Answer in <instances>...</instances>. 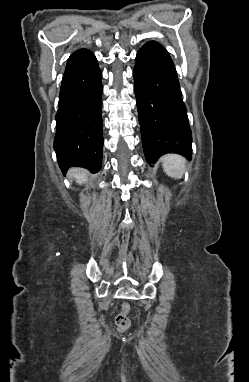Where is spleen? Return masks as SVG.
<instances>
[{
  "mask_svg": "<svg viewBox=\"0 0 249 382\" xmlns=\"http://www.w3.org/2000/svg\"><path fill=\"white\" fill-rule=\"evenodd\" d=\"M164 172L174 179H181L186 169V160L177 154H167L162 157Z\"/></svg>",
  "mask_w": 249,
  "mask_h": 382,
  "instance_id": "obj_1",
  "label": "spleen"
}]
</instances>
